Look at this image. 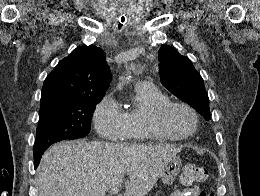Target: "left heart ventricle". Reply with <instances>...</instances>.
Masks as SVG:
<instances>
[{
	"mask_svg": "<svg viewBox=\"0 0 260 196\" xmlns=\"http://www.w3.org/2000/svg\"><path fill=\"white\" fill-rule=\"evenodd\" d=\"M161 123L168 132L174 135H183L194 127L191 114L180 107L170 108L162 117Z\"/></svg>",
	"mask_w": 260,
	"mask_h": 196,
	"instance_id": "left-heart-ventricle-1",
	"label": "left heart ventricle"
}]
</instances>
